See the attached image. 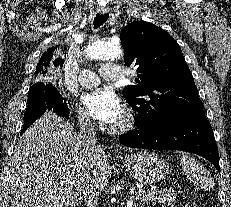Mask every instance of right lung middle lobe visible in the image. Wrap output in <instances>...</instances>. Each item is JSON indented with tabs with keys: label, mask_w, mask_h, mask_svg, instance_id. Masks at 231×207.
<instances>
[{
	"label": "right lung middle lobe",
	"mask_w": 231,
	"mask_h": 207,
	"mask_svg": "<svg viewBox=\"0 0 231 207\" xmlns=\"http://www.w3.org/2000/svg\"><path fill=\"white\" fill-rule=\"evenodd\" d=\"M43 86V84H39V83H36L34 85H32L29 89V97H28V102L31 101L35 95H36V90L41 88Z\"/></svg>",
	"instance_id": "obj_1"
}]
</instances>
